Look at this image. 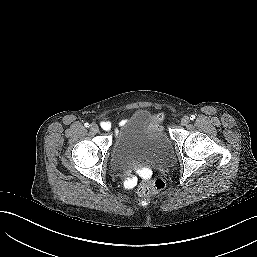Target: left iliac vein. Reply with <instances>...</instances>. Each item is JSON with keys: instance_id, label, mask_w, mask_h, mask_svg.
I'll return each mask as SVG.
<instances>
[{"instance_id": "left-iliac-vein-1", "label": "left iliac vein", "mask_w": 257, "mask_h": 257, "mask_svg": "<svg viewBox=\"0 0 257 257\" xmlns=\"http://www.w3.org/2000/svg\"><path fill=\"white\" fill-rule=\"evenodd\" d=\"M190 122V118L188 116H184L181 118V125L186 126Z\"/></svg>"}]
</instances>
